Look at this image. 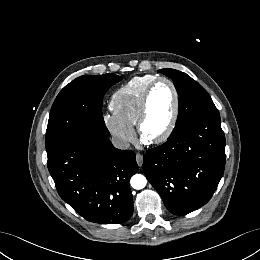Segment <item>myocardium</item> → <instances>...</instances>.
<instances>
[{"mask_svg":"<svg viewBox=\"0 0 260 260\" xmlns=\"http://www.w3.org/2000/svg\"><path fill=\"white\" fill-rule=\"evenodd\" d=\"M162 82L167 83L171 87V89L173 91V94H174V109H173V113H172L170 122H169L166 130L161 135H159L157 137H154V138H147L144 135V132H143V124H144V121H145V119L147 117L151 95H152L155 87L159 83H162ZM179 114H180V94H179L177 86L169 78L157 77L150 84V86L146 90V92H145V94H144V96L142 98V101H141L139 114H138V118H137V122H136L137 131L139 133V136H140L141 140L144 143H147V144H161V143L167 141L171 137V135L173 134V132H174V130L176 128V125H177V122H178V119H179Z\"/></svg>","mask_w":260,"mask_h":260,"instance_id":"1","label":"myocardium"}]
</instances>
